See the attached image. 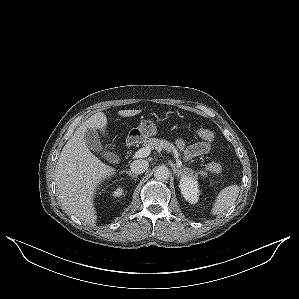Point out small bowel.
I'll return each mask as SVG.
<instances>
[{"instance_id":"1","label":"small bowel","mask_w":299,"mask_h":299,"mask_svg":"<svg viewBox=\"0 0 299 299\" xmlns=\"http://www.w3.org/2000/svg\"><path fill=\"white\" fill-rule=\"evenodd\" d=\"M176 146L182 151L186 160L193 159L195 157L205 155L210 152L211 145L208 142L200 141L189 146H186L182 139L176 141Z\"/></svg>"}]
</instances>
